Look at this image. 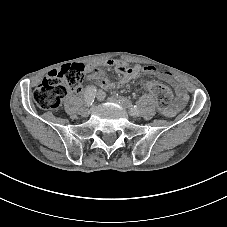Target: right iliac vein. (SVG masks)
Segmentation results:
<instances>
[{
	"mask_svg": "<svg viewBox=\"0 0 227 227\" xmlns=\"http://www.w3.org/2000/svg\"><path fill=\"white\" fill-rule=\"evenodd\" d=\"M90 112H91V109L90 108L84 109L83 115L84 116H88L90 114Z\"/></svg>",
	"mask_w": 227,
	"mask_h": 227,
	"instance_id": "right-iliac-vein-1",
	"label": "right iliac vein"
}]
</instances>
